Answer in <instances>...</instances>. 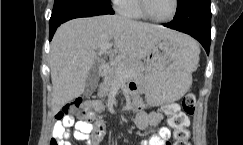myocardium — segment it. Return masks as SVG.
<instances>
[{"mask_svg":"<svg viewBox=\"0 0 243 145\" xmlns=\"http://www.w3.org/2000/svg\"><path fill=\"white\" fill-rule=\"evenodd\" d=\"M137 1H138L139 9H140L141 13L143 14V16L151 21L158 22V23H167V22L172 21L176 17L178 9H179V1L173 0L174 6H173V11H172L171 15L167 18L159 19V18L152 16L151 13L149 12L148 7H147V0H137Z\"/></svg>","mask_w":243,"mask_h":145,"instance_id":"obj_1","label":"myocardium"}]
</instances>
